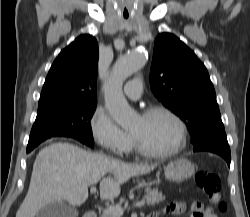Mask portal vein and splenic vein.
Returning a JSON list of instances; mask_svg holds the SVG:
<instances>
[{"label":"portal vein and splenic vein","mask_w":250,"mask_h":217,"mask_svg":"<svg viewBox=\"0 0 250 217\" xmlns=\"http://www.w3.org/2000/svg\"><path fill=\"white\" fill-rule=\"evenodd\" d=\"M96 192V187L92 186L90 189V193H95ZM145 205V201L141 200L136 202L133 206L134 207H142ZM109 212H111L112 214L116 215L117 217H121L123 215L124 212V208L122 207H118V206H107L106 208Z\"/></svg>","instance_id":"18ae733b"}]
</instances>
